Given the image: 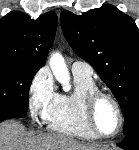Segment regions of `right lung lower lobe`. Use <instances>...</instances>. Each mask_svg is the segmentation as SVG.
Segmentation results:
<instances>
[{
	"mask_svg": "<svg viewBox=\"0 0 139 150\" xmlns=\"http://www.w3.org/2000/svg\"><path fill=\"white\" fill-rule=\"evenodd\" d=\"M6 119H8V118H6ZM3 120H5V119H2L1 121H3ZM1 121H0V122H1Z\"/></svg>",
	"mask_w": 139,
	"mask_h": 150,
	"instance_id": "right-lung-lower-lobe-1",
	"label": "right lung lower lobe"
}]
</instances>
